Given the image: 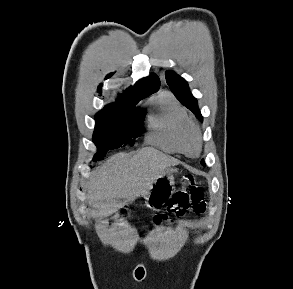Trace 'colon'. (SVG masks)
Segmentation results:
<instances>
[{
  "label": "colon",
  "mask_w": 293,
  "mask_h": 289,
  "mask_svg": "<svg viewBox=\"0 0 293 289\" xmlns=\"http://www.w3.org/2000/svg\"><path fill=\"white\" fill-rule=\"evenodd\" d=\"M182 184L184 187L173 194L172 202L167 210L163 214L154 216V224L172 221L174 217L182 216L188 211L196 214L205 213L204 195L195 179L190 176L184 177Z\"/></svg>",
  "instance_id": "obj_1"
}]
</instances>
